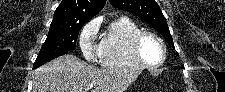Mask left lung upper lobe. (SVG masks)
I'll return each instance as SVG.
<instances>
[{"label": "left lung upper lobe", "instance_id": "left-lung-upper-lobe-1", "mask_svg": "<svg viewBox=\"0 0 225 92\" xmlns=\"http://www.w3.org/2000/svg\"><path fill=\"white\" fill-rule=\"evenodd\" d=\"M110 3L121 10L133 13L150 24L156 31L162 34L167 43L174 48L166 19L155 0H109ZM184 68V65L181 66Z\"/></svg>", "mask_w": 225, "mask_h": 92}]
</instances>
